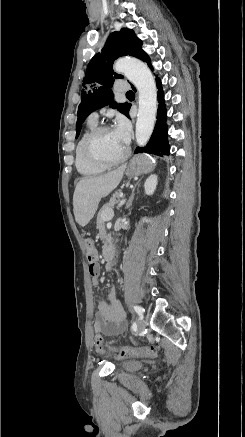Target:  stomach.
I'll use <instances>...</instances> for the list:
<instances>
[{
    "instance_id": "stomach-1",
    "label": "stomach",
    "mask_w": 245,
    "mask_h": 437,
    "mask_svg": "<svg viewBox=\"0 0 245 437\" xmlns=\"http://www.w3.org/2000/svg\"><path fill=\"white\" fill-rule=\"evenodd\" d=\"M154 165L152 159L148 156L138 155L133 157L126 169V175L129 178L145 174L153 170Z\"/></svg>"
}]
</instances>
